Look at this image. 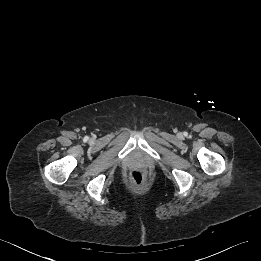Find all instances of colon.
Here are the masks:
<instances>
[{
  "mask_svg": "<svg viewBox=\"0 0 261 261\" xmlns=\"http://www.w3.org/2000/svg\"><path fill=\"white\" fill-rule=\"evenodd\" d=\"M130 182L135 186H143L148 181L147 174L142 170H134L129 176Z\"/></svg>",
  "mask_w": 261,
  "mask_h": 261,
  "instance_id": "1",
  "label": "colon"
}]
</instances>
